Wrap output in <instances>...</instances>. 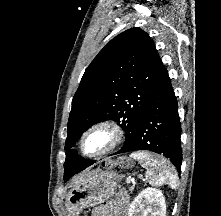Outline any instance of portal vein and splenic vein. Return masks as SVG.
<instances>
[{"mask_svg": "<svg viewBox=\"0 0 221 216\" xmlns=\"http://www.w3.org/2000/svg\"><path fill=\"white\" fill-rule=\"evenodd\" d=\"M141 177H142V176H140V178H141ZM131 181H132L133 184H135V180H131Z\"/></svg>", "mask_w": 221, "mask_h": 216, "instance_id": "portal-vein-and-splenic-vein-1", "label": "portal vein and splenic vein"}]
</instances>
